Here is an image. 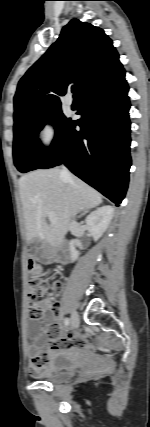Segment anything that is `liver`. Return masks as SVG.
<instances>
[{
  "instance_id": "6515ba94",
  "label": "liver",
  "mask_w": 150,
  "mask_h": 427,
  "mask_svg": "<svg viewBox=\"0 0 150 427\" xmlns=\"http://www.w3.org/2000/svg\"><path fill=\"white\" fill-rule=\"evenodd\" d=\"M19 191L27 241L38 239L53 247L63 242L74 212H85L102 202L99 192L76 176L62 177L58 168L23 175ZM51 211L57 222L47 225L46 217Z\"/></svg>"
}]
</instances>
